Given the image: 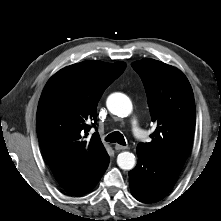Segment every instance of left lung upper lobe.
Returning a JSON list of instances; mask_svg holds the SVG:
<instances>
[{"label":"left lung upper lobe","instance_id":"1","mask_svg":"<svg viewBox=\"0 0 221 221\" xmlns=\"http://www.w3.org/2000/svg\"><path fill=\"white\" fill-rule=\"evenodd\" d=\"M131 66L144 83L151 120L157 124L152 141L139 143L137 149L182 169L196 122L190 83L180 70L157 60L143 59Z\"/></svg>","mask_w":221,"mask_h":221}]
</instances>
